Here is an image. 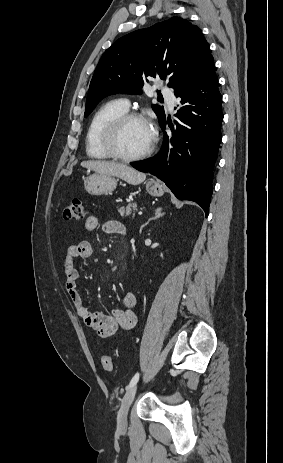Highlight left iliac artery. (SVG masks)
Returning <instances> with one entry per match:
<instances>
[{
	"label": "left iliac artery",
	"instance_id": "44dca946",
	"mask_svg": "<svg viewBox=\"0 0 283 463\" xmlns=\"http://www.w3.org/2000/svg\"><path fill=\"white\" fill-rule=\"evenodd\" d=\"M138 379H139V373H136V374L133 376L132 380L130 381L129 385L127 386V389H129L130 387L134 386V385L137 383Z\"/></svg>",
	"mask_w": 283,
	"mask_h": 463
}]
</instances>
